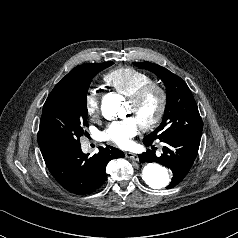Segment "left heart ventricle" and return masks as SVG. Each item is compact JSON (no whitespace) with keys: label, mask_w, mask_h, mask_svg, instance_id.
<instances>
[{"label":"left heart ventricle","mask_w":238,"mask_h":238,"mask_svg":"<svg viewBox=\"0 0 238 238\" xmlns=\"http://www.w3.org/2000/svg\"><path fill=\"white\" fill-rule=\"evenodd\" d=\"M157 104V95L153 93L149 95L143 104L138 108H133L130 104H128L126 115L135 118L140 125L154 115L157 109Z\"/></svg>","instance_id":"b2bd125f"}]
</instances>
